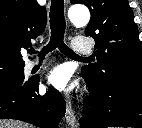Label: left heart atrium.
<instances>
[{
  "label": "left heart atrium",
  "instance_id": "1",
  "mask_svg": "<svg viewBox=\"0 0 142 128\" xmlns=\"http://www.w3.org/2000/svg\"><path fill=\"white\" fill-rule=\"evenodd\" d=\"M70 73L66 66L59 65L55 67L48 76V81L55 88L63 90L68 86Z\"/></svg>",
  "mask_w": 142,
  "mask_h": 128
}]
</instances>
